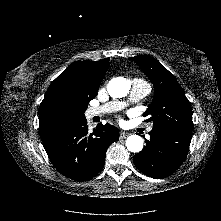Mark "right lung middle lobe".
<instances>
[{
  "instance_id": "1",
  "label": "right lung middle lobe",
  "mask_w": 221,
  "mask_h": 221,
  "mask_svg": "<svg viewBox=\"0 0 221 221\" xmlns=\"http://www.w3.org/2000/svg\"><path fill=\"white\" fill-rule=\"evenodd\" d=\"M94 97H82L79 101H80V107L82 109V113L84 115V112L88 106V103L90 100H92Z\"/></svg>"
}]
</instances>
